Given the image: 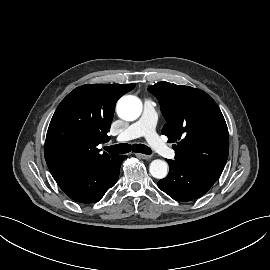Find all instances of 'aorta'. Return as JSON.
Segmentation results:
<instances>
[{
  "label": "aorta",
  "mask_w": 270,
  "mask_h": 270,
  "mask_svg": "<svg viewBox=\"0 0 270 270\" xmlns=\"http://www.w3.org/2000/svg\"><path fill=\"white\" fill-rule=\"evenodd\" d=\"M116 110L121 119L134 121L141 115L142 103L136 96H123L118 101ZM149 171L154 178L163 179L167 176L168 164L163 160H153L150 163Z\"/></svg>",
  "instance_id": "aorta-1"
}]
</instances>
